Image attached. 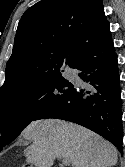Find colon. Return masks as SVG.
Returning a JSON list of instances; mask_svg holds the SVG:
<instances>
[{
	"instance_id": "1",
	"label": "colon",
	"mask_w": 125,
	"mask_h": 167,
	"mask_svg": "<svg viewBox=\"0 0 125 167\" xmlns=\"http://www.w3.org/2000/svg\"><path fill=\"white\" fill-rule=\"evenodd\" d=\"M21 167H32V165H30V164H28V163H24V164H22Z\"/></svg>"
}]
</instances>
